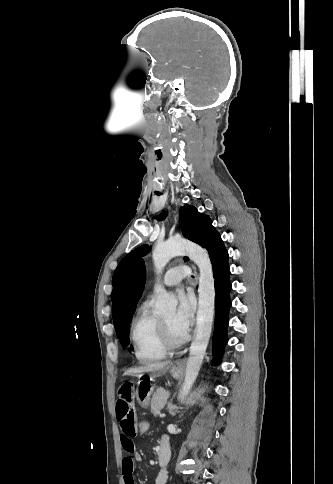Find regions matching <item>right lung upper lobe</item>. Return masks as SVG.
I'll return each instance as SVG.
<instances>
[{
    "instance_id": "cb5924a9",
    "label": "right lung upper lobe",
    "mask_w": 333,
    "mask_h": 484,
    "mask_svg": "<svg viewBox=\"0 0 333 484\" xmlns=\"http://www.w3.org/2000/svg\"><path fill=\"white\" fill-rule=\"evenodd\" d=\"M145 265L142 259L132 262L122 275L116 288L112 311L116 332L132 316L145 286Z\"/></svg>"
}]
</instances>
